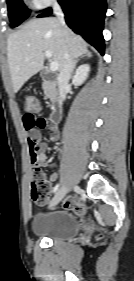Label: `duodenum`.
<instances>
[{"label": "duodenum", "mask_w": 134, "mask_h": 281, "mask_svg": "<svg viewBox=\"0 0 134 281\" xmlns=\"http://www.w3.org/2000/svg\"><path fill=\"white\" fill-rule=\"evenodd\" d=\"M44 81L45 83H47L49 86L53 87L54 86V83L53 81H51L50 79L48 78H44ZM61 110L59 108V105L57 102H55V108L53 110V112L51 113L50 115V121L54 124H57L61 121Z\"/></svg>", "instance_id": "obj_1"}]
</instances>
